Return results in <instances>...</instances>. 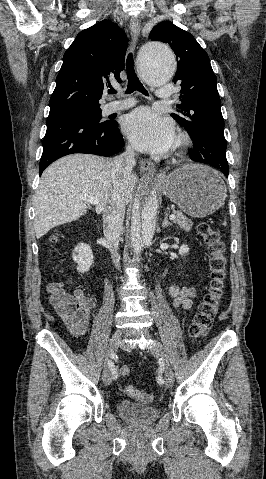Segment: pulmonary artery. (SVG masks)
Instances as JSON below:
<instances>
[{"label":"pulmonary artery","instance_id":"e3ab8cb5","mask_svg":"<svg viewBox=\"0 0 266 479\" xmlns=\"http://www.w3.org/2000/svg\"><path fill=\"white\" fill-rule=\"evenodd\" d=\"M173 89L170 85H163L157 89L156 95L158 98L168 99L172 96ZM135 104V100L131 97L123 100L112 101L106 105L107 113H114L132 107Z\"/></svg>","mask_w":266,"mask_h":479}]
</instances>
